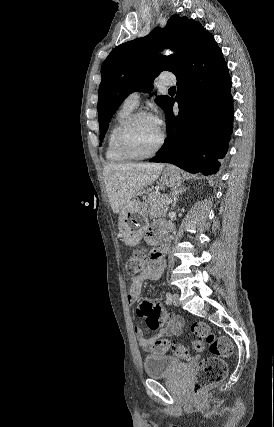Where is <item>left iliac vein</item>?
<instances>
[{
    "instance_id": "obj_1",
    "label": "left iliac vein",
    "mask_w": 274,
    "mask_h": 427,
    "mask_svg": "<svg viewBox=\"0 0 274 427\" xmlns=\"http://www.w3.org/2000/svg\"><path fill=\"white\" fill-rule=\"evenodd\" d=\"M172 301H173L174 305H176V306L180 305L179 294L178 293H174L173 294Z\"/></svg>"
}]
</instances>
